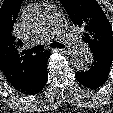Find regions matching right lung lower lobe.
I'll return each instance as SVG.
<instances>
[{
	"label": "right lung lower lobe",
	"instance_id": "98d812e1",
	"mask_svg": "<svg viewBox=\"0 0 113 113\" xmlns=\"http://www.w3.org/2000/svg\"><path fill=\"white\" fill-rule=\"evenodd\" d=\"M49 56L48 50L40 53L30 77L18 87H15L17 91L26 95H35L44 88L48 80L47 62Z\"/></svg>",
	"mask_w": 113,
	"mask_h": 113
}]
</instances>
